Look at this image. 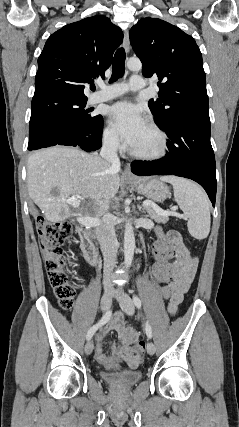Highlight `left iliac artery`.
<instances>
[{
  "label": "left iliac artery",
  "mask_w": 239,
  "mask_h": 427,
  "mask_svg": "<svg viewBox=\"0 0 239 427\" xmlns=\"http://www.w3.org/2000/svg\"><path fill=\"white\" fill-rule=\"evenodd\" d=\"M133 303L137 308H139V309L141 308V300L136 295H133ZM145 330H146L147 337L149 339H151L152 338V329H151V326L149 325L148 322H146Z\"/></svg>",
  "instance_id": "1"
}]
</instances>
